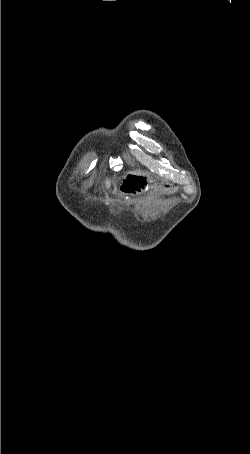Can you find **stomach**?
I'll return each mask as SVG.
<instances>
[{
    "label": "stomach",
    "instance_id": "stomach-1",
    "mask_svg": "<svg viewBox=\"0 0 250 454\" xmlns=\"http://www.w3.org/2000/svg\"><path fill=\"white\" fill-rule=\"evenodd\" d=\"M125 176H148V175H147V173H143L140 171H130ZM120 184H122V183H120ZM148 187H154V184L152 183L151 180H150V184L148 185Z\"/></svg>",
    "mask_w": 250,
    "mask_h": 454
}]
</instances>
